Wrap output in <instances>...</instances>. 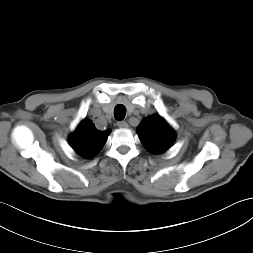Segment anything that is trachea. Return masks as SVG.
I'll return each instance as SVG.
<instances>
[{
  "label": "trachea",
  "instance_id": "1",
  "mask_svg": "<svg viewBox=\"0 0 253 253\" xmlns=\"http://www.w3.org/2000/svg\"><path fill=\"white\" fill-rule=\"evenodd\" d=\"M126 107L122 104H119L114 109V117L116 120L121 121L125 118Z\"/></svg>",
  "mask_w": 253,
  "mask_h": 253
}]
</instances>
